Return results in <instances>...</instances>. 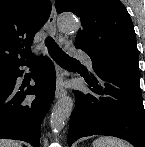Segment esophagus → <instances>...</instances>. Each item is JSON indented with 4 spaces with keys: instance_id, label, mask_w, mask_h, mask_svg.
<instances>
[{
    "instance_id": "1",
    "label": "esophagus",
    "mask_w": 145,
    "mask_h": 147,
    "mask_svg": "<svg viewBox=\"0 0 145 147\" xmlns=\"http://www.w3.org/2000/svg\"><path fill=\"white\" fill-rule=\"evenodd\" d=\"M56 18H57V12H56L55 6L53 5L51 15L48 20V26L53 35H56L57 33ZM66 93H67L66 90L61 85H59L56 89L55 98L59 99L61 97H64Z\"/></svg>"
}]
</instances>
